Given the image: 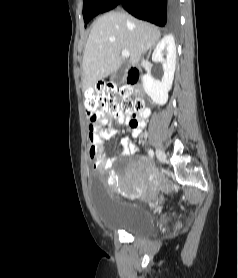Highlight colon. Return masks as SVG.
<instances>
[{"mask_svg":"<svg viewBox=\"0 0 238 278\" xmlns=\"http://www.w3.org/2000/svg\"><path fill=\"white\" fill-rule=\"evenodd\" d=\"M131 87L117 88L113 84H103L91 89L85 94L84 107L90 126L95 124L101 113L142 112L145 110L144 102L133 98Z\"/></svg>","mask_w":238,"mask_h":278,"instance_id":"colon-1","label":"colon"}]
</instances>
